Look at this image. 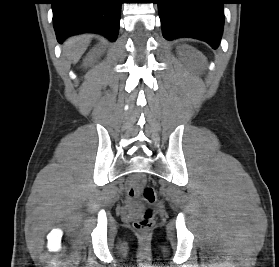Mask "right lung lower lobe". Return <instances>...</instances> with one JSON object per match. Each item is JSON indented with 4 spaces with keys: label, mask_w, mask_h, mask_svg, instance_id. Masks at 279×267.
Here are the masks:
<instances>
[{
    "label": "right lung lower lobe",
    "mask_w": 279,
    "mask_h": 267,
    "mask_svg": "<svg viewBox=\"0 0 279 267\" xmlns=\"http://www.w3.org/2000/svg\"><path fill=\"white\" fill-rule=\"evenodd\" d=\"M53 24L57 40L84 33H99L117 39L121 0H52Z\"/></svg>",
    "instance_id": "1"
}]
</instances>
